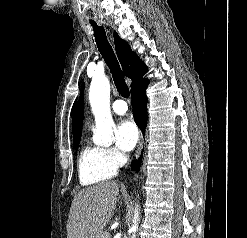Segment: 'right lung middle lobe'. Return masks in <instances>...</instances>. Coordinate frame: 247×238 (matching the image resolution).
Listing matches in <instances>:
<instances>
[{"label":"right lung middle lobe","instance_id":"1","mask_svg":"<svg viewBox=\"0 0 247 238\" xmlns=\"http://www.w3.org/2000/svg\"><path fill=\"white\" fill-rule=\"evenodd\" d=\"M79 142H80V141L74 143V148H75V149L78 148Z\"/></svg>","mask_w":247,"mask_h":238}]
</instances>
